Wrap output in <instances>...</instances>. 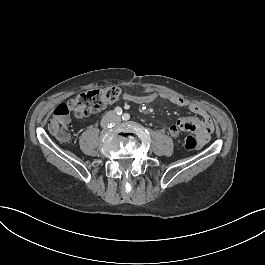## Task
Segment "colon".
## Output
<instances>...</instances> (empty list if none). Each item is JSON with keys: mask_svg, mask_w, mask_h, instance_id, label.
<instances>
[{"mask_svg": "<svg viewBox=\"0 0 265 265\" xmlns=\"http://www.w3.org/2000/svg\"><path fill=\"white\" fill-rule=\"evenodd\" d=\"M120 94L121 91L117 87L86 90L67 103L60 104L49 117L48 128L60 141L66 142L70 138L67 128L70 114H74L76 117H86L100 112L107 105L114 103ZM194 144L193 135L185 138V149L187 151H194Z\"/></svg>", "mask_w": 265, "mask_h": 265, "instance_id": "colon-1", "label": "colon"}]
</instances>
